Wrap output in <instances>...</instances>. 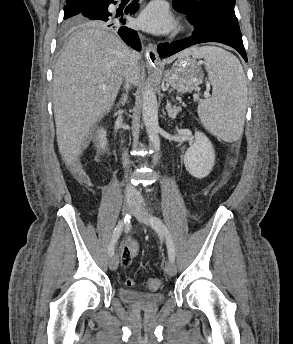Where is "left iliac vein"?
Listing matches in <instances>:
<instances>
[{
	"mask_svg": "<svg viewBox=\"0 0 293 344\" xmlns=\"http://www.w3.org/2000/svg\"><path fill=\"white\" fill-rule=\"evenodd\" d=\"M133 214L140 223L144 225L150 224V214L141 204H137L136 208L133 211ZM165 272L168 276L171 277L176 275L177 269L173 261L170 260L166 263Z\"/></svg>",
	"mask_w": 293,
	"mask_h": 344,
	"instance_id": "4c4485c4",
	"label": "left iliac vein"
}]
</instances>
